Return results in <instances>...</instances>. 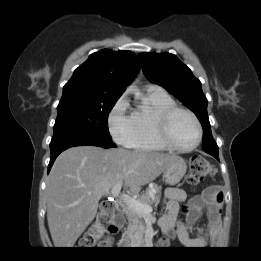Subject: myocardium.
Listing matches in <instances>:
<instances>
[{"mask_svg": "<svg viewBox=\"0 0 261 261\" xmlns=\"http://www.w3.org/2000/svg\"><path fill=\"white\" fill-rule=\"evenodd\" d=\"M178 112H183V113H186L187 115H189L196 125L197 139L194 142V144H192L191 146H188V147L179 146L171 138L170 123H171L173 116ZM155 126H156L157 135H158L160 141L168 149H171V150H175V151H179V152H189V151H192L195 148H197L202 141L203 129H202V125H201L198 117L196 116V114L193 111H191L188 108L182 107V106L174 105V106H171V107L165 109L161 113H159L155 118Z\"/></svg>", "mask_w": 261, "mask_h": 261, "instance_id": "f54148a6", "label": "myocardium"}]
</instances>
